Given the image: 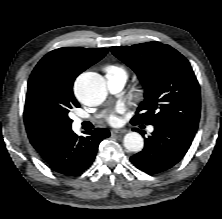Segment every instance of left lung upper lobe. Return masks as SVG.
Returning a JSON list of instances; mask_svg holds the SVG:
<instances>
[{"mask_svg":"<svg viewBox=\"0 0 222 219\" xmlns=\"http://www.w3.org/2000/svg\"><path fill=\"white\" fill-rule=\"evenodd\" d=\"M110 50L135 71L145 88V100L132 118L133 124L172 123L196 133L200 87L182 54L160 42L115 46Z\"/></svg>","mask_w":222,"mask_h":219,"instance_id":"left-lung-upper-lobe-1","label":"left lung upper lobe"}]
</instances>
